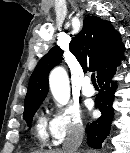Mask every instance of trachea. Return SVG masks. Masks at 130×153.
<instances>
[{"instance_id":"obj_1","label":"trachea","mask_w":130,"mask_h":153,"mask_svg":"<svg viewBox=\"0 0 130 153\" xmlns=\"http://www.w3.org/2000/svg\"><path fill=\"white\" fill-rule=\"evenodd\" d=\"M91 80H92V83H93L94 85L97 84L96 78H95V73H92V75H91Z\"/></svg>"}]
</instances>
